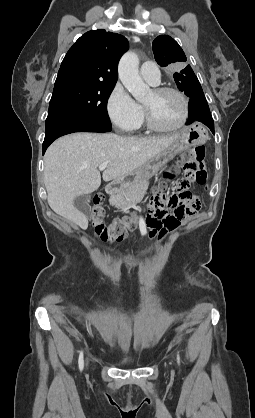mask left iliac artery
<instances>
[{"instance_id": "left-iliac-artery-1", "label": "left iliac artery", "mask_w": 255, "mask_h": 418, "mask_svg": "<svg viewBox=\"0 0 255 418\" xmlns=\"http://www.w3.org/2000/svg\"><path fill=\"white\" fill-rule=\"evenodd\" d=\"M177 362H178V364H180V356H179V353H177Z\"/></svg>"}]
</instances>
